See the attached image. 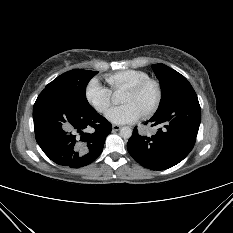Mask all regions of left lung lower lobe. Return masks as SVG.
<instances>
[{
	"mask_svg": "<svg viewBox=\"0 0 233 233\" xmlns=\"http://www.w3.org/2000/svg\"><path fill=\"white\" fill-rule=\"evenodd\" d=\"M200 120L198 98L188 82L161 113L149 120L151 126H160L155 135L141 136L134 128L127 143L128 152L143 167L168 169L181 162L194 147Z\"/></svg>",
	"mask_w": 233,
	"mask_h": 233,
	"instance_id": "0a47b994",
	"label": "left lung lower lobe"
}]
</instances>
